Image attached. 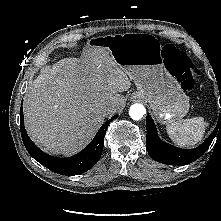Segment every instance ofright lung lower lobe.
Segmentation results:
<instances>
[{
  "mask_svg": "<svg viewBox=\"0 0 221 221\" xmlns=\"http://www.w3.org/2000/svg\"><path fill=\"white\" fill-rule=\"evenodd\" d=\"M118 115L107 120L104 125L99 129L98 133L91 141V143L85 147L78 154L69 158H57L50 156L41 151L29 138L23 122V109L20 108V123H21V135L23 143L29 152V154L40 164L48 168L49 170L66 176L78 175L86 172L92 168L99 160L103 146L106 130L113 119Z\"/></svg>",
  "mask_w": 221,
  "mask_h": 221,
  "instance_id": "obj_1",
  "label": "right lung lower lobe"
}]
</instances>
